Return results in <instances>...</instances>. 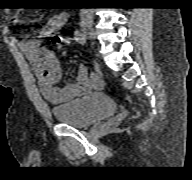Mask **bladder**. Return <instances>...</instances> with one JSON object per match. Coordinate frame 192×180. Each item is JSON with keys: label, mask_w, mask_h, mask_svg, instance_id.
<instances>
[{"label": "bladder", "mask_w": 192, "mask_h": 180, "mask_svg": "<svg viewBox=\"0 0 192 180\" xmlns=\"http://www.w3.org/2000/svg\"><path fill=\"white\" fill-rule=\"evenodd\" d=\"M61 123L84 127L112 116L116 111L113 100L103 93H93L52 107Z\"/></svg>", "instance_id": "obj_1"}]
</instances>
